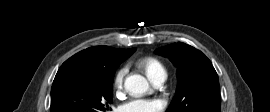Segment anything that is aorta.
Instances as JSON below:
<instances>
[{"instance_id": "762f6f07", "label": "aorta", "mask_w": 270, "mask_h": 112, "mask_svg": "<svg viewBox=\"0 0 270 112\" xmlns=\"http://www.w3.org/2000/svg\"><path fill=\"white\" fill-rule=\"evenodd\" d=\"M124 87L129 94L138 95L148 91L149 83L145 77L139 74H133L126 78Z\"/></svg>"}]
</instances>
